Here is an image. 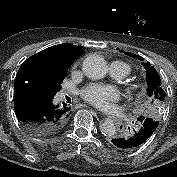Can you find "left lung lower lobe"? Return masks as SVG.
Segmentation results:
<instances>
[{
  "mask_svg": "<svg viewBox=\"0 0 177 177\" xmlns=\"http://www.w3.org/2000/svg\"><path fill=\"white\" fill-rule=\"evenodd\" d=\"M159 122L152 118H142L136 130L130 135L118 136L112 139L113 145L120 149H134L142 145L156 130Z\"/></svg>",
  "mask_w": 177,
  "mask_h": 177,
  "instance_id": "1",
  "label": "left lung lower lobe"
}]
</instances>
